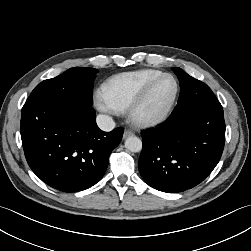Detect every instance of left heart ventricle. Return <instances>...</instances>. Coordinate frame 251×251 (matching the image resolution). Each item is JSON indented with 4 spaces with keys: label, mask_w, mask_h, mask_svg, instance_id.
<instances>
[{
    "label": "left heart ventricle",
    "mask_w": 251,
    "mask_h": 251,
    "mask_svg": "<svg viewBox=\"0 0 251 251\" xmlns=\"http://www.w3.org/2000/svg\"><path fill=\"white\" fill-rule=\"evenodd\" d=\"M175 90V83L171 78H164L152 89L149 97L142 106V116H153L160 113L169 103Z\"/></svg>",
    "instance_id": "b2bd125f"
}]
</instances>
